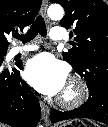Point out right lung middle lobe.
<instances>
[{"label":"right lung middle lobe","mask_w":108,"mask_h":127,"mask_svg":"<svg viewBox=\"0 0 108 127\" xmlns=\"http://www.w3.org/2000/svg\"><path fill=\"white\" fill-rule=\"evenodd\" d=\"M7 50H0V61H3L4 56L6 55Z\"/></svg>","instance_id":"obj_1"}]
</instances>
